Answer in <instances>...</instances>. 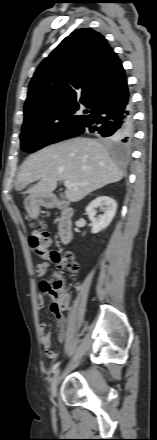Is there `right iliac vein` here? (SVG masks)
Here are the masks:
<instances>
[{"mask_svg":"<svg viewBox=\"0 0 157 440\" xmlns=\"http://www.w3.org/2000/svg\"><path fill=\"white\" fill-rule=\"evenodd\" d=\"M59 375H60V370H56L52 379H51V385H50V392H51V396L52 398L56 397L57 394V389H58V385H59Z\"/></svg>","mask_w":157,"mask_h":440,"instance_id":"right-iliac-vein-1","label":"right iliac vein"}]
</instances>
